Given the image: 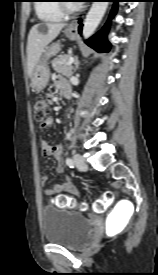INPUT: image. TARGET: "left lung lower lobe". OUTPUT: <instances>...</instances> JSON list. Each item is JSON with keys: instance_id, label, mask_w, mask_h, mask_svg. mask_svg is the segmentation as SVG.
I'll return each mask as SVG.
<instances>
[{"instance_id": "1", "label": "left lung lower lobe", "mask_w": 158, "mask_h": 275, "mask_svg": "<svg viewBox=\"0 0 158 275\" xmlns=\"http://www.w3.org/2000/svg\"><path fill=\"white\" fill-rule=\"evenodd\" d=\"M112 1L114 2V6H113V9H112L111 14H110L109 21L115 15L116 10H117L118 0H112ZM109 21L102 28V30L100 32H98L96 35H94L93 37H91L90 39H88L86 41V43L90 47H92L93 49H95L98 52H108L109 49H110V43L107 42V39H106ZM81 30H82V24L79 25V32L80 33H81Z\"/></svg>"}]
</instances>
